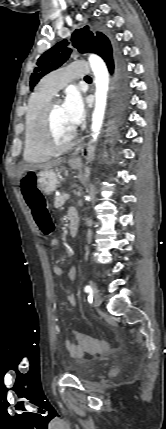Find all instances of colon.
Here are the masks:
<instances>
[{"label": "colon", "instance_id": "obj_1", "mask_svg": "<svg viewBox=\"0 0 166 429\" xmlns=\"http://www.w3.org/2000/svg\"><path fill=\"white\" fill-rule=\"evenodd\" d=\"M21 190L40 231L44 235L51 234L54 230V224L49 214L46 200L38 189L37 177L33 171L27 172L23 177ZM73 336L79 346L91 353L101 354L108 352L111 348L107 341L89 338L78 331H73Z\"/></svg>", "mask_w": 166, "mask_h": 429}]
</instances>
